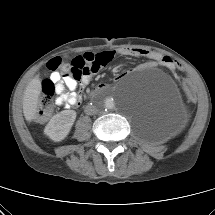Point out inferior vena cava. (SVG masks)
Returning a JSON list of instances; mask_svg holds the SVG:
<instances>
[{
  "instance_id": "1",
  "label": "inferior vena cava",
  "mask_w": 215,
  "mask_h": 215,
  "mask_svg": "<svg viewBox=\"0 0 215 215\" xmlns=\"http://www.w3.org/2000/svg\"><path fill=\"white\" fill-rule=\"evenodd\" d=\"M97 108L94 105H87L85 107V113L88 115L96 114L97 113Z\"/></svg>"
}]
</instances>
